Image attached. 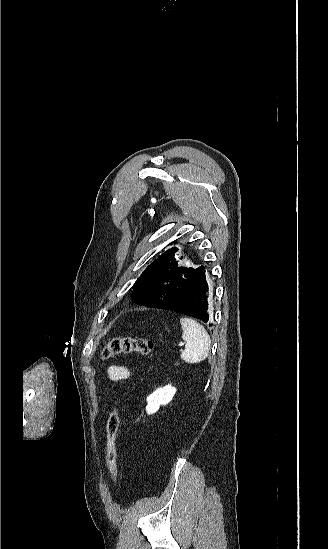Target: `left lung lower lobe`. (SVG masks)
<instances>
[{"mask_svg": "<svg viewBox=\"0 0 328 549\" xmlns=\"http://www.w3.org/2000/svg\"><path fill=\"white\" fill-rule=\"evenodd\" d=\"M209 297L205 268L200 266L180 280L176 290L168 299L148 307L178 312L207 323L210 321Z\"/></svg>", "mask_w": 328, "mask_h": 549, "instance_id": "0a47b994", "label": "left lung lower lobe"}]
</instances>
